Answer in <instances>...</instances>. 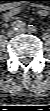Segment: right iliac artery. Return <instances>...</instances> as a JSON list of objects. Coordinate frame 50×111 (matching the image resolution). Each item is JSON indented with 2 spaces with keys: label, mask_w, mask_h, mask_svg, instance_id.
I'll use <instances>...</instances> for the list:
<instances>
[{
  "label": "right iliac artery",
  "mask_w": 50,
  "mask_h": 111,
  "mask_svg": "<svg viewBox=\"0 0 50 111\" xmlns=\"http://www.w3.org/2000/svg\"><path fill=\"white\" fill-rule=\"evenodd\" d=\"M24 26H25V24L22 21H19V20L12 23V28L14 30L22 29Z\"/></svg>",
  "instance_id": "right-iliac-artery-1"
}]
</instances>
